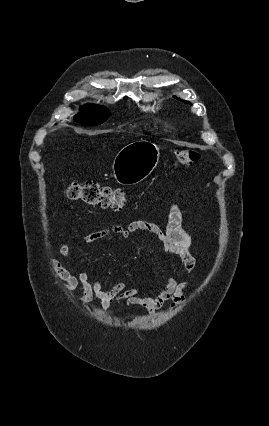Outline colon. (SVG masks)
Wrapping results in <instances>:
<instances>
[{"label": "colon", "mask_w": 269, "mask_h": 426, "mask_svg": "<svg viewBox=\"0 0 269 426\" xmlns=\"http://www.w3.org/2000/svg\"><path fill=\"white\" fill-rule=\"evenodd\" d=\"M179 165H191L199 160V153L190 149L175 151ZM67 196L74 201L103 209H121L125 203V193L121 188L101 185L96 181L73 182L67 188Z\"/></svg>", "instance_id": "obj_1"}]
</instances>
